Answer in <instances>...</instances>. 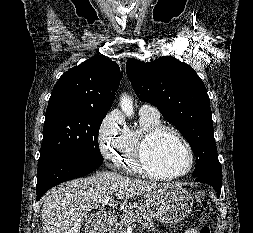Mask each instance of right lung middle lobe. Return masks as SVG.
Wrapping results in <instances>:
<instances>
[{"instance_id":"dd1d6c3e","label":"right lung middle lobe","mask_w":253,"mask_h":233,"mask_svg":"<svg viewBox=\"0 0 253 233\" xmlns=\"http://www.w3.org/2000/svg\"><path fill=\"white\" fill-rule=\"evenodd\" d=\"M106 114L83 106H48L39 161L52 156L103 161L98 132Z\"/></svg>"}]
</instances>
